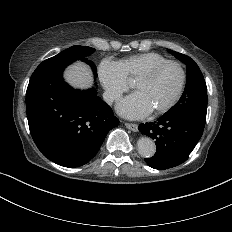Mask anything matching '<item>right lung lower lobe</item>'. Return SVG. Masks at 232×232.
<instances>
[{
  "mask_svg": "<svg viewBox=\"0 0 232 232\" xmlns=\"http://www.w3.org/2000/svg\"><path fill=\"white\" fill-rule=\"evenodd\" d=\"M76 60L95 66L86 57L49 58L36 68L26 92L28 124L35 144L49 160L69 168L88 163L107 133L119 124L95 88L81 91L63 80L64 69Z\"/></svg>",
  "mask_w": 232,
  "mask_h": 232,
  "instance_id": "obj_1",
  "label": "right lung lower lobe"
}]
</instances>
